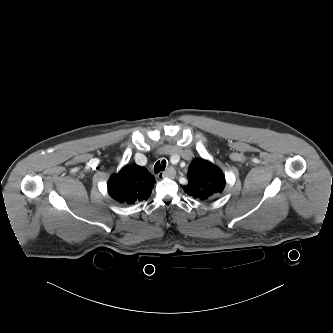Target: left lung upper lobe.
I'll return each mask as SVG.
<instances>
[{
  "mask_svg": "<svg viewBox=\"0 0 333 333\" xmlns=\"http://www.w3.org/2000/svg\"><path fill=\"white\" fill-rule=\"evenodd\" d=\"M225 187L222 171L204 159H194L188 170L185 193L195 199L210 200L219 197Z\"/></svg>",
  "mask_w": 333,
  "mask_h": 333,
  "instance_id": "5c2ea615",
  "label": "left lung upper lobe"
}]
</instances>
